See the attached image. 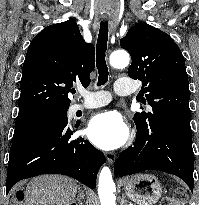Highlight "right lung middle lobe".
I'll use <instances>...</instances> for the list:
<instances>
[{
  "instance_id": "1",
  "label": "right lung middle lobe",
  "mask_w": 199,
  "mask_h": 205,
  "mask_svg": "<svg viewBox=\"0 0 199 205\" xmlns=\"http://www.w3.org/2000/svg\"><path fill=\"white\" fill-rule=\"evenodd\" d=\"M66 108L46 109L18 115L12 143L20 141L40 130L57 128L68 123Z\"/></svg>"
}]
</instances>
